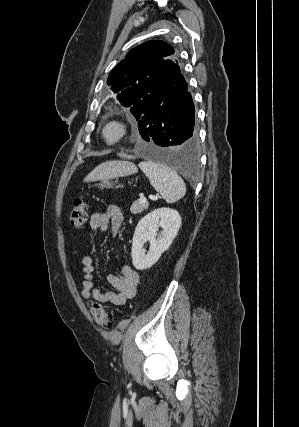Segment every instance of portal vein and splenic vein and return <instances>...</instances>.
<instances>
[{"label": "portal vein and splenic vein", "mask_w": 299, "mask_h": 427, "mask_svg": "<svg viewBox=\"0 0 299 427\" xmlns=\"http://www.w3.org/2000/svg\"><path fill=\"white\" fill-rule=\"evenodd\" d=\"M149 198H150L151 200H157V199H158V196H157V195H156V196L149 195ZM140 200H141L142 202H147V199H146L145 197H141V198H140Z\"/></svg>", "instance_id": "portal-vein-and-splenic-vein-1"}]
</instances>
